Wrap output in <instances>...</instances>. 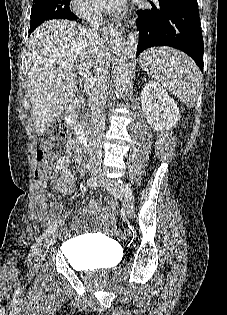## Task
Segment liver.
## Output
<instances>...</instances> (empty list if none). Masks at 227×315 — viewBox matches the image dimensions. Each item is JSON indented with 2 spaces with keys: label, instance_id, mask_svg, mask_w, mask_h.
<instances>
[{
  "label": "liver",
  "instance_id": "obj_1",
  "mask_svg": "<svg viewBox=\"0 0 227 315\" xmlns=\"http://www.w3.org/2000/svg\"><path fill=\"white\" fill-rule=\"evenodd\" d=\"M110 59L98 35L73 21L51 20L39 26L28 41V93L35 130L42 135L71 105L77 90L74 64L92 70Z\"/></svg>",
  "mask_w": 227,
  "mask_h": 315
}]
</instances>
